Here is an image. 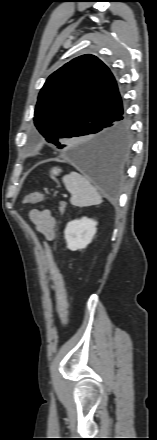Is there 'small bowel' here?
<instances>
[{
    "label": "small bowel",
    "mask_w": 157,
    "mask_h": 440,
    "mask_svg": "<svg viewBox=\"0 0 157 440\" xmlns=\"http://www.w3.org/2000/svg\"><path fill=\"white\" fill-rule=\"evenodd\" d=\"M30 220L36 229L41 232L44 237L51 241L55 237V219L49 210L32 209L29 213Z\"/></svg>",
    "instance_id": "obj_1"
}]
</instances>
